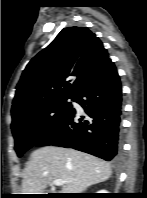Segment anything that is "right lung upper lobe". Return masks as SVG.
Returning a JSON list of instances; mask_svg holds the SVG:
<instances>
[{
	"label": "right lung upper lobe",
	"mask_w": 147,
	"mask_h": 198,
	"mask_svg": "<svg viewBox=\"0 0 147 198\" xmlns=\"http://www.w3.org/2000/svg\"><path fill=\"white\" fill-rule=\"evenodd\" d=\"M109 62L102 42L88 28H64L23 71L11 109L12 122L44 104L73 99Z\"/></svg>",
	"instance_id": "right-lung-upper-lobe-1"
}]
</instances>
